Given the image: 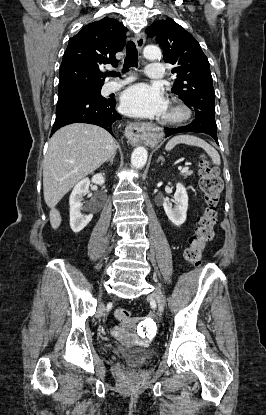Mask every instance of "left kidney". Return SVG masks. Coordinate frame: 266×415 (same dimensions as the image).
<instances>
[{
    "label": "left kidney",
    "mask_w": 266,
    "mask_h": 415,
    "mask_svg": "<svg viewBox=\"0 0 266 415\" xmlns=\"http://www.w3.org/2000/svg\"><path fill=\"white\" fill-rule=\"evenodd\" d=\"M173 203L174 206L169 202H165L163 207L169 220L174 225L180 226L186 220L188 209V194L185 187L180 183L176 185Z\"/></svg>",
    "instance_id": "obj_1"
}]
</instances>
